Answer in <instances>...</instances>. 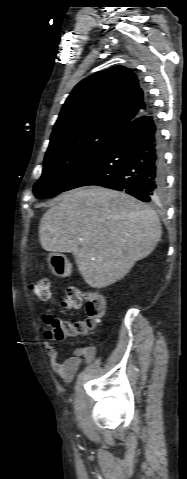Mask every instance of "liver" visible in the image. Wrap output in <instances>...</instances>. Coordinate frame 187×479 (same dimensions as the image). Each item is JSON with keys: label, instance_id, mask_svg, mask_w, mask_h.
Returning <instances> with one entry per match:
<instances>
[{"label": "liver", "instance_id": "1", "mask_svg": "<svg viewBox=\"0 0 187 479\" xmlns=\"http://www.w3.org/2000/svg\"><path fill=\"white\" fill-rule=\"evenodd\" d=\"M160 238L153 210L126 193L99 186L59 195L39 226L43 249L72 253L85 282L98 289L126 276Z\"/></svg>", "mask_w": 187, "mask_h": 479}]
</instances>
